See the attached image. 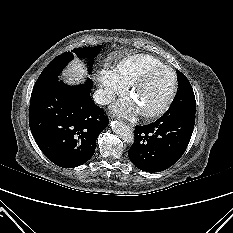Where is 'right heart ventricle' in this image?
Listing matches in <instances>:
<instances>
[{
  "label": "right heart ventricle",
  "instance_id": "right-heart-ventricle-1",
  "mask_svg": "<svg viewBox=\"0 0 233 233\" xmlns=\"http://www.w3.org/2000/svg\"><path fill=\"white\" fill-rule=\"evenodd\" d=\"M160 65L163 64L155 57L139 54L122 59L118 63L116 71L123 83L128 86L146 69Z\"/></svg>",
  "mask_w": 233,
  "mask_h": 233
}]
</instances>
